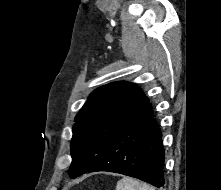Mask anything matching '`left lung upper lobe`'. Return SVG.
I'll use <instances>...</instances> for the list:
<instances>
[{
    "label": "left lung upper lobe",
    "mask_w": 221,
    "mask_h": 190,
    "mask_svg": "<svg viewBox=\"0 0 221 190\" xmlns=\"http://www.w3.org/2000/svg\"><path fill=\"white\" fill-rule=\"evenodd\" d=\"M148 103L133 83L116 82L93 91L75 117L69 176L87 172L117 131Z\"/></svg>",
    "instance_id": "5c2ea615"
}]
</instances>
